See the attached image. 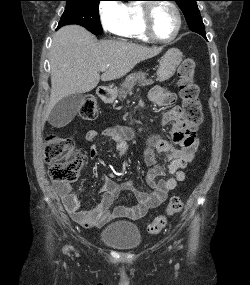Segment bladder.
<instances>
[{
	"mask_svg": "<svg viewBox=\"0 0 250 285\" xmlns=\"http://www.w3.org/2000/svg\"><path fill=\"white\" fill-rule=\"evenodd\" d=\"M100 240L119 250H130L141 243V233L136 224L129 221H115L100 232Z\"/></svg>",
	"mask_w": 250,
	"mask_h": 285,
	"instance_id": "obj_1",
	"label": "bladder"
}]
</instances>
